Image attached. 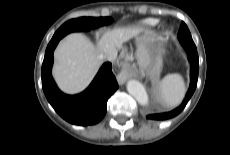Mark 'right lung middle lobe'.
I'll use <instances>...</instances> for the list:
<instances>
[{
	"label": "right lung middle lobe",
	"mask_w": 230,
	"mask_h": 155,
	"mask_svg": "<svg viewBox=\"0 0 230 155\" xmlns=\"http://www.w3.org/2000/svg\"><path fill=\"white\" fill-rule=\"evenodd\" d=\"M110 17H81L65 22L54 34L51 40L61 39L65 35L74 31H89L112 22Z\"/></svg>",
	"instance_id": "obj_1"
}]
</instances>
